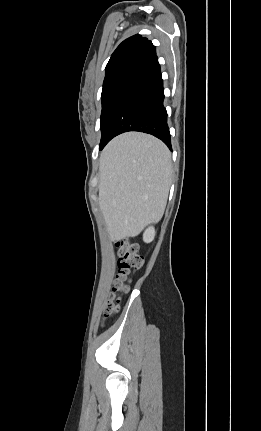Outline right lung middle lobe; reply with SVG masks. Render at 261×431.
I'll list each match as a JSON object with an SVG mask.
<instances>
[{
    "mask_svg": "<svg viewBox=\"0 0 261 431\" xmlns=\"http://www.w3.org/2000/svg\"><path fill=\"white\" fill-rule=\"evenodd\" d=\"M139 73V71H129L103 83L101 94L102 112L100 128L102 135L99 145L100 150L108 142L109 128L119 104Z\"/></svg>",
    "mask_w": 261,
    "mask_h": 431,
    "instance_id": "1",
    "label": "right lung middle lobe"
}]
</instances>
